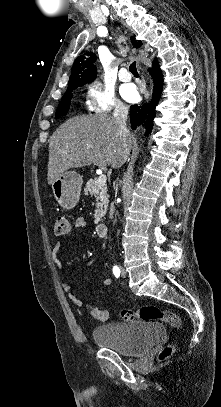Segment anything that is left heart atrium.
Segmentation results:
<instances>
[{
    "mask_svg": "<svg viewBox=\"0 0 221 407\" xmlns=\"http://www.w3.org/2000/svg\"><path fill=\"white\" fill-rule=\"evenodd\" d=\"M122 95L129 102H135L138 99V92L133 85L124 86Z\"/></svg>",
    "mask_w": 221,
    "mask_h": 407,
    "instance_id": "1",
    "label": "left heart atrium"
}]
</instances>
